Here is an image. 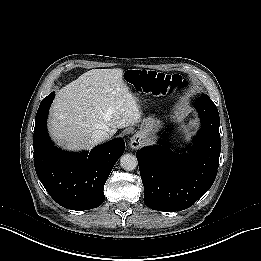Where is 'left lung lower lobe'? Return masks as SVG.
<instances>
[{"label": "left lung lower lobe", "mask_w": 261, "mask_h": 261, "mask_svg": "<svg viewBox=\"0 0 261 261\" xmlns=\"http://www.w3.org/2000/svg\"><path fill=\"white\" fill-rule=\"evenodd\" d=\"M196 107L202 127L188 153L174 155L164 142L136 153L144 203L151 209L184 210L200 199L215 180L221 151L218 110L205 97L199 98Z\"/></svg>", "instance_id": "obj_1"}]
</instances>
